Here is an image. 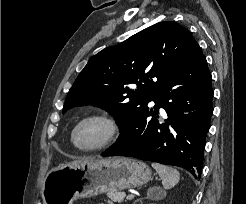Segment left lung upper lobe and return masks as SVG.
<instances>
[{
    "instance_id": "1",
    "label": "left lung upper lobe",
    "mask_w": 246,
    "mask_h": 204,
    "mask_svg": "<svg viewBox=\"0 0 246 204\" xmlns=\"http://www.w3.org/2000/svg\"><path fill=\"white\" fill-rule=\"evenodd\" d=\"M197 43L173 21L154 24L92 56L66 97L63 113L96 105L114 116L120 131L142 111L152 93L190 56ZM136 84L137 89H132Z\"/></svg>"
}]
</instances>
